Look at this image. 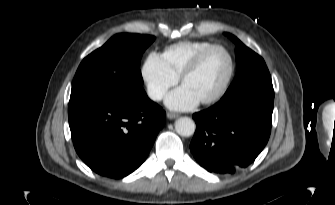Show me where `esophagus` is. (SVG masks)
Here are the masks:
<instances>
[{
    "mask_svg": "<svg viewBox=\"0 0 335 205\" xmlns=\"http://www.w3.org/2000/svg\"><path fill=\"white\" fill-rule=\"evenodd\" d=\"M167 117L169 118V119H176V118H178L179 117V115L178 114H176V113H172V112H167Z\"/></svg>",
    "mask_w": 335,
    "mask_h": 205,
    "instance_id": "obj_1",
    "label": "esophagus"
}]
</instances>
